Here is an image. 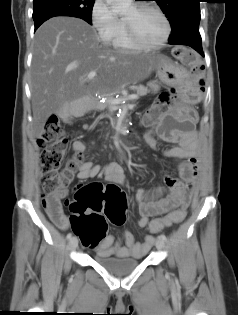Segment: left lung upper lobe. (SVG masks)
<instances>
[{"label": "left lung upper lobe", "instance_id": "5c2ea615", "mask_svg": "<svg viewBox=\"0 0 238 315\" xmlns=\"http://www.w3.org/2000/svg\"><path fill=\"white\" fill-rule=\"evenodd\" d=\"M169 18L172 33L169 39L178 37L183 32L199 28L200 0H155Z\"/></svg>", "mask_w": 238, "mask_h": 315}]
</instances>
